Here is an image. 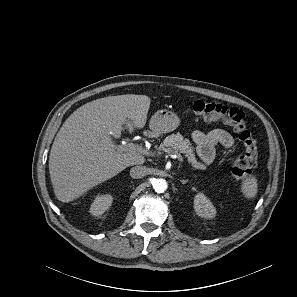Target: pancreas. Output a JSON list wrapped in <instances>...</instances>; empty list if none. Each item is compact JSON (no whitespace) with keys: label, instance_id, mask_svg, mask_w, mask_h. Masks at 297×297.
<instances>
[{"label":"pancreas","instance_id":"pancreas-1","mask_svg":"<svg viewBox=\"0 0 297 297\" xmlns=\"http://www.w3.org/2000/svg\"><path fill=\"white\" fill-rule=\"evenodd\" d=\"M162 146L168 147L171 152L183 153L187 158L188 163L191 164L193 170L206 169V166L197 160L194 153V147L189 139L184 138L180 133L167 136L164 139Z\"/></svg>","mask_w":297,"mask_h":297}]
</instances>
